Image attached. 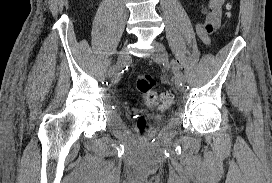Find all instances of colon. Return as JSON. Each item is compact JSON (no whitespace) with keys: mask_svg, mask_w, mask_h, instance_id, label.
<instances>
[{"mask_svg":"<svg viewBox=\"0 0 272 183\" xmlns=\"http://www.w3.org/2000/svg\"><path fill=\"white\" fill-rule=\"evenodd\" d=\"M228 9H232V5H228ZM156 85L155 79L149 74H141L136 79V88L140 93L144 95L146 103L149 106H158L165 108L169 106L173 101V96L170 93L158 94L154 91ZM137 128L140 134H144L146 129V122L144 119H140L137 124Z\"/></svg>","mask_w":272,"mask_h":183,"instance_id":"5ec220e1","label":"colon"}]
</instances>
